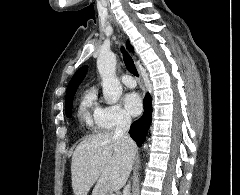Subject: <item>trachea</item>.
Returning a JSON list of instances; mask_svg holds the SVG:
<instances>
[{
  "instance_id": "3493384b",
  "label": "trachea",
  "mask_w": 240,
  "mask_h": 195,
  "mask_svg": "<svg viewBox=\"0 0 240 195\" xmlns=\"http://www.w3.org/2000/svg\"><path fill=\"white\" fill-rule=\"evenodd\" d=\"M121 52L123 54V60H124L127 70L130 73H132L133 75L138 76V72H137L136 66L134 64V61L132 60L130 55L125 51L123 46L121 47Z\"/></svg>"
}]
</instances>
